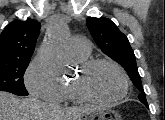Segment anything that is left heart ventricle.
I'll return each instance as SVG.
<instances>
[{
    "label": "left heart ventricle",
    "mask_w": 165,
    "mask_h": 120,
    "mask_svg": "<svg viewBox=\"0 0 165 120\" xmlns=\"http://www.w3.org/2000/svg\"><path fill=\"white\" fill-rule=\"evenodd\" d=\"M77 77L78 75L75 80ZM85 88L96 98L109 99L121 93L123 81L115 68L102 64L96 66L88 73L85 79Z\"/></svg>",
    "instance_id": "obj_1"
}]
</instances>
